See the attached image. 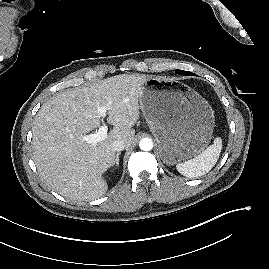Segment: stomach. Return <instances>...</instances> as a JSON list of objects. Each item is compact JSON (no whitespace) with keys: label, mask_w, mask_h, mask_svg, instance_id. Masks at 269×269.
<instances>
[{"label":"stomach","mask_w":269,"mask_h":269,"mask_svg":"<svg viewBox=\"0 0 269 269\" xmlns=\"http://www.w3.org/2000/svg\"><path fill=\"white\" fill-rule=\"evenodd\" d=\"M140 108L167 165L200 153L209 143L214 112L196 91L177 81L149 77L139 97Z\"/></svg>","instance_id":"obj_1"}]
</instances>
